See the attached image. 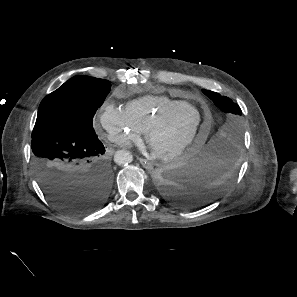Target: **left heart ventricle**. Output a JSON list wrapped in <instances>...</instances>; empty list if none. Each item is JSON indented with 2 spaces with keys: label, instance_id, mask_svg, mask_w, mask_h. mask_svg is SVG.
Segmentation results:
<instances>
[{
  "label": "left heart ventricle",
  "instance_id": "obj_1",
  "mask_svg": "<svg viewBox=\"0 0 297 297\" xmlns=\"http://www.w3.org/2000/svg\"><path fill=\"white\" fill-rule=\"evenodd\" d=\"M199 117L196 111L187 109L167 121L151 135L152 150L163 152L172 150L185 142L194 132Z\"/></svg>",
  "mask_w": 297,
  "mask_h": 297
}]
</instances>
